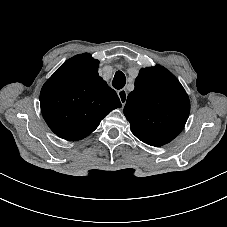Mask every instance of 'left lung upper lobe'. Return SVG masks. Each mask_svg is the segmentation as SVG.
<instances>
[{"mask_svg": "<svg viewBox=\"0 0 227 227\" xmlns=\"http://www.w3.org/2000/svg\"><path fill=\"white\" fill-rule=\"evenodd\" d=\"M190 101L177 78L163 66L140 70L124 114L132 133L151 146L172 141L184 128Z\"/></svg>", "mask_w": 227, "mask_h": 227, "instance_id": "obj_1", "label": "left lung upper lobe"}]
</instances>
